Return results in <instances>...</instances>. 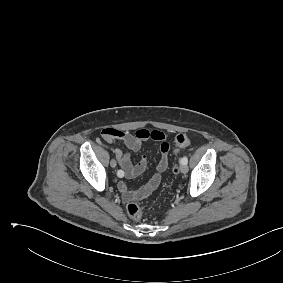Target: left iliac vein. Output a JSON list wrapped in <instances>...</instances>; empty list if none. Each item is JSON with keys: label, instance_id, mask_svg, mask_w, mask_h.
Returning <instances> with one entry per match:
<instances>
[{"label": "left iliac vein", "instance_id": "left-iliac-vein-1", "mask_svg": "<svg viewBox=\"0 0 283 283\" xmlns=\"http://www.w3.org/2000/svg\"><path fill=\"white\" fill-rule=\"evenodd\" d=\"M180 170H181L182 173L186 174V173L188 172V166H187V164H182V165L180 166Z\"/></svg>", "mask_w": 283, "mask_h": 283}]
</instances>
